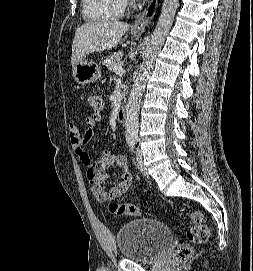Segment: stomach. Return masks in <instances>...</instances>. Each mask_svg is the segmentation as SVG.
I'll return each instance as SVG.
<instances>
[{"label":"stomach","mask_w":253,"mask_h":271,"mask_svg":"<svg viewBox=\"0 0 253 271\" xmlns=\"http://www.w3.org/2000/svg\"><path fill=\"white\" fill-rule=\"evenodd\" d=\"M73 76L79 84L86 85L96 82L101 77L99 63L81 58L73 67Z\"/></svg>","instance_id":"0dacf381"}]
</instances>
